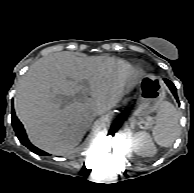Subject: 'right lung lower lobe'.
I'll list each match as a JSON object with an SVG mask.
<instances>
[{"label":"right lung lower lobe","instance_id":"obj_1","mask_svg":"<svg viewBox=\"0 0 194 193\" xmlns=\"http://www.w3.org/2000/svg\"><path fill=\"white\" fill-rule=\"evenodd\" d=\"M12 125L13 128L15 130V133L18 137V139L20 140V142L25 145L28 149H30L32 152L38 154V155H47L46 152L38 149L37 147H35L34 145H32L30 143V141L28 140L25 130L22 126V123L18 120V118L15 116V112L14 109L12 108Z\"/></svg>","mask_w":194,"mask_h":193}]
</instances>
